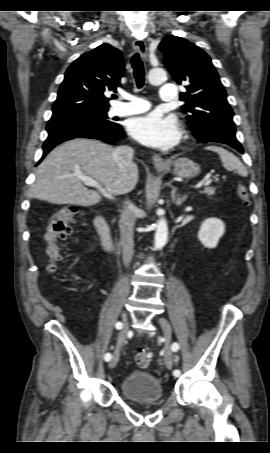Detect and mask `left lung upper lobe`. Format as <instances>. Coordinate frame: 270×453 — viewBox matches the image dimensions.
Instances as JSON below:
<instances>
[{"label":"left lung upper lobe","instance_id":"1","mask_svg":"<svg viewBox=\"0 0 270 453\" xmlns=\"http://www.w3.org/2000/svg\"><path fill=\"white\" fill-rule=\"evenodd\" d=\"M164 64L187 92L180 100L193 135L203 143L237 141L233 111L211 58L195 44L177 36H166L159 45Z\"/></svg>","mask_w":270,"mask_h":453}]
</instances>
